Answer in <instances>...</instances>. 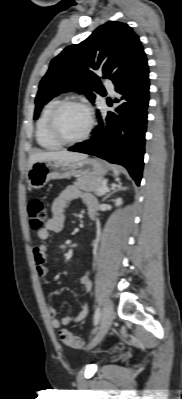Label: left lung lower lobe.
<instances>
[{
  "label": "left lung lower lobe",
  "mask_w": 182,
  "mask_h": 399,
  "mask_svg": "<svg viewBox=\"0 0 182 399\" xmlns=\"http://www.w3.org/2000/svg\"><path fill=\"white\" fill-rule=\"evenodd\" d=\"M149 70L147 61L141 64L125 81L115 86L119 93L113 112L106 117L97 113L99 125L89 140L69 148L100 157L110 163L124 166L139 185L142 178L145 153V132L149 103Z\"/></svg>",
  "instance_id": "1"
}]
</instances>
